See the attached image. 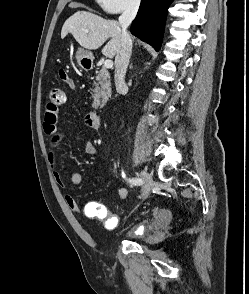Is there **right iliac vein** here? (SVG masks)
<instances>
[{"label":"right iliac vein","instance_id":"obj_1","mask_svg":"<svg viewBox=\"0 0 249 294\" xmlns=\"http://www.w3.org/2000/svg\"><path fill=\"white\" fill-rule=\"evenodd\" d=\"M140 176L142 177L144 184H143V199H146L151 191L152 187V176L146 171L141 170Z\"/></svg>","mask_w":249,"mask_h":294}]
</instances>
